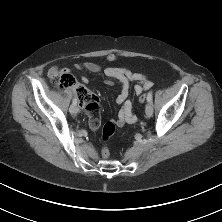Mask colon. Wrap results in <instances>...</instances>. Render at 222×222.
Listing matches in <instances>:
<instances>
[{"label":"colon","instance_id":"colon-1","mask_svg":"<svg viewBox=\"0 0 222 222\" xmlns=\"http://www.w3.org/2000/svg\"><path fill=\"white\" fill-rule=\"evenodd\" d=\"M53 83L60 88L74 87L77 90V95L80 102L83 104L85 110L89 113L98 112L100 109L98 97L90 90L77 85L73 76L67 72H57L52 76ZM139 101L147 102L148 95L142 94ZM115 132V124L112 122H107L102 128V139L104 141L108 140ZM103 157L107 158L109 156V150L106 145L102 148Z\"/></svg>","mask_w":222,"mask_h":222}]
</instances>
